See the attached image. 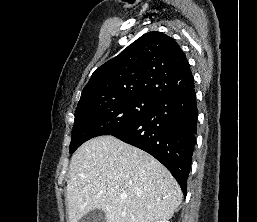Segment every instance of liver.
Here are the masks:
<instances>
[{
	"label": "liver",
	"instance_id": "1",
	"mask_svg": "<svg viewBox=\"0 0 257 222\" xmlns=\"http://www.w3.org/2000/svg\"><path fill=\"white\" fill-rule=\"evenodd\" d=\"M67 198L69 222L95 209L105 213L106 222H159L173 216L182 192L154 157L105 135L85 142L72 156Z\"/></svg>",
	"mask_w": 257,
	"mask_h": 222
}]
</instances>
